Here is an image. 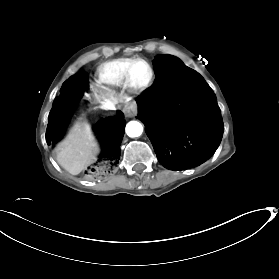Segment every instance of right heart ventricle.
<instances>
[{"mask_svg":"<svg viewBox=\"0 0 279 279\" xmlns=\"http://www.w3.org/2000/svg\"><path fill=\"white\" fill-rule=\"evenodd\" d=\"M130 61L129 58H120L103 63L97 70L100 81L110 85H123Z\"/></svg>","mask_w":279,"mask_h":279,"instance_id":"e07e8e85","label":"right heart ventricle"}]
</instances>
